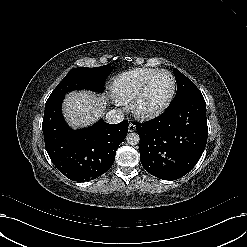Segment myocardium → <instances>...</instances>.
<instances>
[{
  "instance_id": "myocardium-1",
  "label": "myocardium",
  "mask_w": 247,
  "mask_h": 247,
  "mask_svg": "<svg viewBox=\"0 0 247 247\" xmlns=\"http://www.w3.org/2000/svg\"><path fill=\"white\" fill-rule=\"evenodd\" d=\"M167 74L172 81V88L171 91L168 95V97L160 104L152 106V107H143L142 106V100L143 97L147 91L148 86L150 85V83L153 81V79L159 75V74ZM176 91V80L173 76V74L166 70V69H159L157 70L154 74H152L143 84V86L141 87V89L139 90V92L135 95V97L131 100L130 103V108L131 111L133 113V115L138 118V119H149L152 118L160 113H162L171 103L174 94Z\"/></svg>"
}]
</instances>
